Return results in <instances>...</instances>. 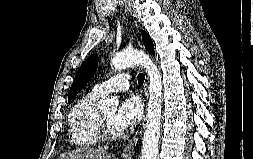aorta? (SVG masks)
<instances>
[{"label":"aorta","mask_w":253,"mask_h":159,"mask_svg":"<svg viewBox=\"0 0 253 159\" xmlns=\"http://www.w3.org/2000/svg\"><path fill=\"white\" fill-rule=\"evenodd\" d=\"M115 69H125L134 65H142L146 68L149 77V101L146 116V126L142 139L140 159H157L159 139L161 134L162 113V77L156 64L148 55L137 50H124L111 58ZM118 99L104 97L99 100L98 107L102 111L115 110Z\"/></svg>","instance_id":"aorta-1"}]
</instances>
